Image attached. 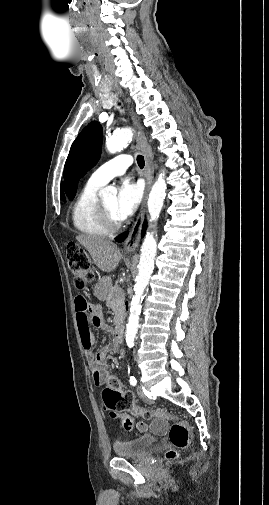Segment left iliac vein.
<instances>
[{
  "label": "left iliac vein",
  "mask_w": 269,
  "mask_h": 505,
  "mask_svg": "<svg viewBox=\"0 0 269 505\" xmlns=\"http://www.w3.org/2000/svg\"><path fill=\"white\" fill-rule=\"evenodd\" d=\"M137 392H138V395L140 396V398H142L145 401L148 400L147 397H146V395L144 394L142 385H138ZM148 405H149V407L152 408V407H154L155 404H154V402L151 401V402H149Z\"/></svg>",
  "instance_id": "4c4485c4"
}]
</instances>
